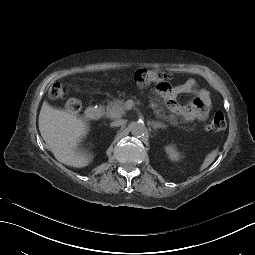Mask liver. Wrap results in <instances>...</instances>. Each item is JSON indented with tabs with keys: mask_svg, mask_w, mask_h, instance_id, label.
Segmentation results:
<instances>
[{
	"mask_svg": "<svg viewBox=\"0 0 255 255\" xmlns=\"http://www.w3.org/2000/svg\"><path fill=\"white\" fill-rule=\"evenodd\" d=\"M39 130L59 162L77 168L89 164V158L76 151L77 144L87 134V128L75 114L54 109L43 102L39 114Z\"/></svg>",
	"mask_w": 255,
	"mask_h": 255,
	"instance_id": "6515ba94",
	"label": "liver"
}]
</instances>
